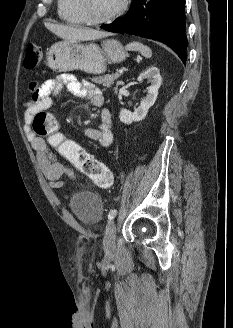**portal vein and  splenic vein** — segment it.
Returning <instances> with one entry per match:
<instances>
[{
    "label": "portal vein and splenic vein",
    "instance_id": "1",
    "mask_svg": "<svg viewBox=\"0 0 233 328\" xmlns=\"http://www.w3.org/2000/svg\"><path fill=\"white\" fill-rule=\"evenodd\" d=\"M123 72H124L123 69H119V70H118V73H119V74H122Z\"/></svg>",
    "mask_w": 233,
    "mask_h": 328
}]
</instances>
